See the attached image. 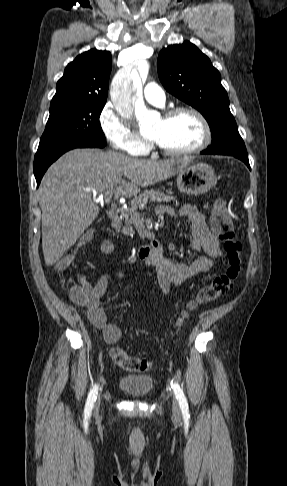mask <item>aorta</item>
I'll list each match as a JSON object with an SVG mask.
<instances>
[{
    "label": "aorta",
    "mask_w": 287,
    "mask_h": 486,
    "mask_svg": "<svg viewBox=\"0 0 287 486\" xmlns=\"http://www.w3.org/2000/svg\"><path fill=\"white\" fill-rule=\"evenodd\" d=\"M149 65L147 62L142 64V72L148 74ZM142 81L136 69L130 73H118L111 84V100L125 119L136 117L141 128H150L152 124V114L146 109L141 99Z\"/></svg>",
    "instance_id": "1"
}]
</instances>
